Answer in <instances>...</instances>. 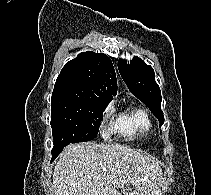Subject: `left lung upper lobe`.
Here are the masks:
<instances>
[{"label": "left lung upper lobe", "instance_id": "5c2ea615", "mask_svg": "<svg viewBox=\"0 0 211 195\" xmlns=\"http://www.w3.org/2000/svg\"><path fill=\"white\" fill-rule=\"evenodd\" d=\"M118 69L132 94L151 110L161 126L164 123L161 110L162 98L160 88L155 81L153 68L141 59L134 57L130 64L120 59Z\"/></svg>", "mask_w": 211, "mask_h": 195}]
</instances>
